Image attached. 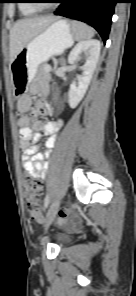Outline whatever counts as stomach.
<instances>
[{
	"instance_id": "stomach-1",
	"label": "stomach",
	"mask_w": 136,
	"mask_h": 296,
	"mask_svg": "<svg viewBox=\"0 0 136 296\" xmlns=\"http://www.w3.org/2000/svg\"><path fill=\"white\" fill-rule=\"evenodd\" d=\"M74 42L72 28L65 20H57L34 37L11 63L12 76L16 84L30 83L40 66L52 56L61 54ZM30 85H16V98L27 94Z\"/></svg>"
}]
</instances>
